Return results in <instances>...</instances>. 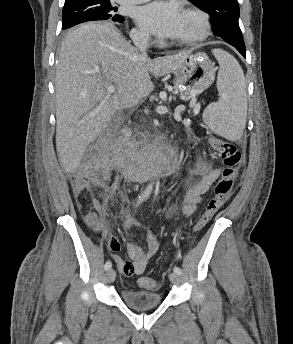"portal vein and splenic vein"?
I'll use <instances>...</instances> for the list:
<instances>
[{"label":"portal vein and splenic vein","instance_id":"1","mask_svg":"<svg viewBox=\"0 0 293 344\" xmlns=\"http://www.w3.org/2000/svg\"><path fill=\"white\" fill-rule=\"evenodd\" d=\"M115 86L114 85H108L107 87V93L108 94H112L114 91H115ZM193 101V105H194V114H198L199 111H200V104L199 103H195L196 102V99L193 98L192 99ZM185 123L189 122V120H184Z\"/></svg>","mask_w":293,"mask_h":344}]
</instances>
